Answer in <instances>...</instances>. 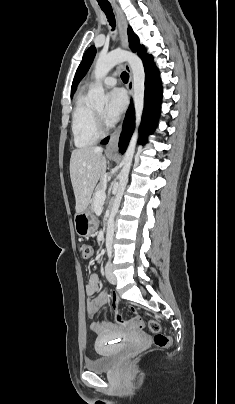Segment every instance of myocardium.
Returning a JSON list of instances; mask_svg holds the SVG:
<instances>
[{
    "instance_id": "obj_1",
    "label": "myocardium",
    "mask_w": 235,
    "mask_h": 404,
    "mask_svg": "<svg viewBox=\"0 0 235 404\" xmlns=\"http://www.w3.org/2000/svg\"><path fill=\"white\" fill-rule=\"evenodd\" d=\"M95 118H96L97 128H98L100 134L107 131L108 130V125L105 122V120L103 118V115L100 114L99 112L95 111Z\"/></svg>"
}]
</instances>
